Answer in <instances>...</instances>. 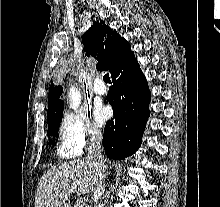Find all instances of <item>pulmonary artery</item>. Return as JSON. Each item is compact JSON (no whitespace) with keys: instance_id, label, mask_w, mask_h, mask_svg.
<instances>
[{"instance_id":"e3ab8cb5","label":"pulmonary artery","mask_w":220,"mask_h":207,"mask_svg":"<svg viewBox=\"0 0 220 207\" xmlns=\"http://www.w3.org/2000/svg\"><path fill=\"white\" fill-rule=\"evenodd\" d=\"M94 93L96 95L102 96L106 93V87L103 85V83L100 80H97L94 84Z\"/></svg>"}]
</instances>
